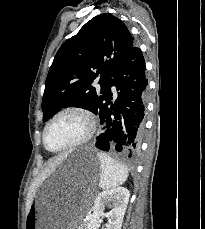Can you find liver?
<instances>
[{"mask_svg": "<svg viewBox=\"0 0 205 229\" xmlns=\"http://www.w3.org/2000/svg\"><path fill=\"white\" fill-rule=\"evenodd\" d=\"M65 157H66V154L58 156L55 160L49 162L46 166L44 173L48 174V173L52 172L53 170H55L56 166H58L63 161V159ZM30 206H31V202H29L27 204V210H29Z\"/></svg>", "mask_w": 205, "mask_h": 229, "instance_id": "liver-1", "label": "liver"}]
</instances>
